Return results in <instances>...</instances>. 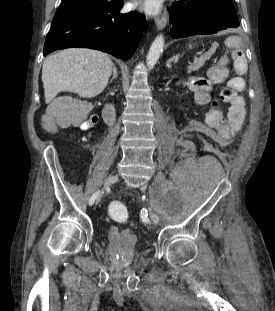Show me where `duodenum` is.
Here are the masks:
<instances>
[{
  "instance_id": "410a0bca",
  "label": "duodenum",
  "mask_w": 275,
  "mask_h": 311,
  "mask_svg": "<svg viewBox=\"0 0 275 311\" xmlns=\"http://www.w3.org/2000/svg\"><path fill=\"white\" fill-rule=\"evenodd\" d=\"M103 118L107 124H112L115 119V107L107 104L103 109Z\"/></svg>"
}]
</instances>
